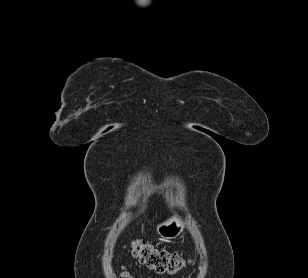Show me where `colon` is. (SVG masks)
Returning <instances> with one entry per match:
<instances>
[{
    "mask_svg": "<svg viewBox=\"0 0 308 278\" xmlns=\"http://www.w3.org/2000/svg\"><path fill=\"white\" fill-rule=\"evenodd\" d=\"M133 255L148 268L157 273H176L186 265V260L179 254L164 249L140 239L131 243Z\"/></svg>",
    "mask_w": 308,
    "mask_h": 278,
    "instance_id": "colon-1",
    "label": "colon"
}]
</instances>
